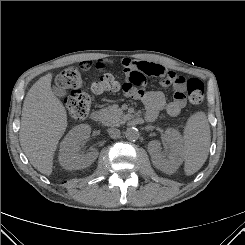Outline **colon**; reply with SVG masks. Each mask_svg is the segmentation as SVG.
I'll return each mask as SVG.
<instances>
[{
    "mask_svg": "<svg viewBox=\"0 0 245 245\" xmlns=\"http://www.w3.org/2000/svg\"><path fill=\"white\" fill-rule=\"evenodd\" d=\"M144 76L139 73H133L130 77L134 85H141ZM57 85L64 89L71 90L70 96L65 100L68 114L75 120L84 119L90 111V97L82 90V80L77 69L69 68L62 71L57 77ZM119 88L115 77L110 73L101 75L93 84L92 90L96 94L114 92ZM189 101L198 105L204 98V84L198 78H190L186 81Z\"/></svg>",
    "mask_w": 245,
    "mask_h": 245,
    "instance_id": "colon-1",
    "label": "colon"
}]
</instances>
